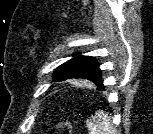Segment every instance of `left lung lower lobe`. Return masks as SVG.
Listing matches in <instances>:
<instances>
[{
	"instance_id": "obj_1",
	"label": "left lung lower lobe",
	"mask_w": 153,
	"mask_h": 134,
	"mask_svg": "<svg viewBox=\"0 0 153 134\" xmlns=\"http://www.w3.org/2000/svg\"><path fill=\"white\" fill-rule=\"evenodd\" d=\"M97 89L100 90V91H103L104 87H98Z\"/></svg>"
}]
</instances>
